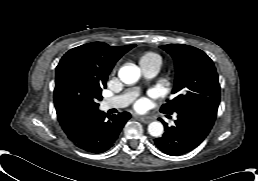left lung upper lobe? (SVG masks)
I'll list each match as a JSON object with an SVG mask.
<instances>
[{
    "label": "left lung upper lobe",
    "instance_id": "left-lung-upper-lobe-1",
    "mask_svg": "<svg viewBox=\"0 0 258 181\" xmlns=\"http://www.w3.org/2000/svg\"><path fill=\"white\" fill-rule=\"evenodd\" d=\"M174 59L176 78L172 93L176 97L161 107L172 114L193 108L218 109L220 85L212 60L200 49L183 44L161 46Z\"/></svg>",
    "mask_w": 258,
    "mask_h": 181
}]
</instances>
